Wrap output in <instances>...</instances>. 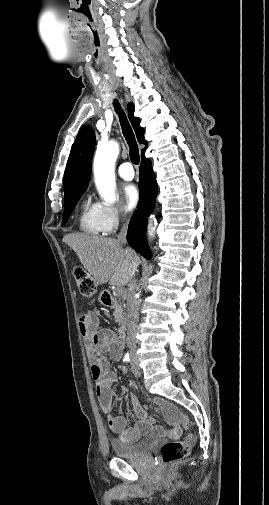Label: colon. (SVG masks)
Returning <instances> with one entry per match:
<instances>
[{"mask_svg":"<svg viewBox=\"0 0 269 505\" xmlns=\"http://www.w3.org/2000/svg\"><path fill=\"white\" fill-rule=\"evenodd\" d=\"M74 277L77 283V287L79 292L84 297H92L96 293V284L94 279L89 275V273L81 268L76 267L74 269ZM95 326L92 325L93 329ZM181 422L187 424V421L184 417L181 416ZM193 437L188 436L184 441L173 440L165 443L161 447V459L162 462L166 465L176 463L185 457H187L189 452V447L193 443Z\"/></svg>","mask_w":269,"mask_h":505,"instance_id":"5ec220e1","label":"colon"}]
</instances>
